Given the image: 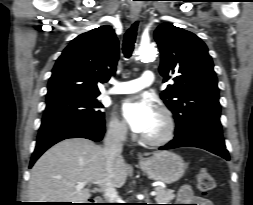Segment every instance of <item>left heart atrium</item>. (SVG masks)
<instances>
[{"label":"left heart atrium","instance_id":"39dd6f15","mask_svg":"<svg viewBox=\"0 0 253 205\" xmlns=\"http://www.w3.org/2000/svg\"><path fill=\"white\" fill-rule=\"evenodd\" d=\"M122 114L133 132L144 134L152 125L157 111L148 98L142 97L125 102Z\"/></svg>","mask_w":253,"mask_h":205}]
</instances>
